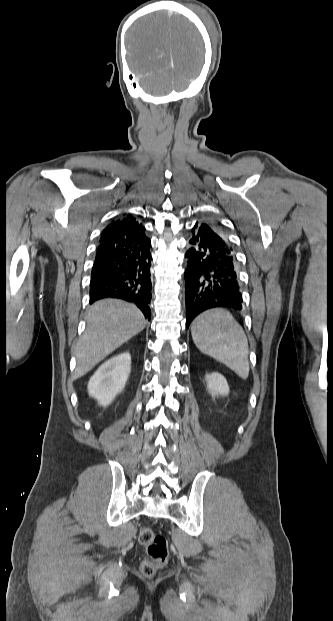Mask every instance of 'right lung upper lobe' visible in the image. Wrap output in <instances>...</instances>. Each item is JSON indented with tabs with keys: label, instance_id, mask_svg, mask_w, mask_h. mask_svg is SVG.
I'll use <instances>...</instances> for the list:
<instances>
[{
	"label": "right lung upper lobe",
	"instance_id": "right-lung-upper-lobe-1",
	"mask_svg": "<svg viewBox=\"0 0 333 621\" xmlns=\"http://www.w3.org/2000/svg\"><path fill=\"white\" fill-rule=\"evenodd\" d=\"M99 243H115L127 248H140L151 244L145 235V228L130 214L124 215L122 219L113 220L102 231Z\"/></svg>",
	"mask_w": 333,
	"mask_h": 621
}]
</instances>
